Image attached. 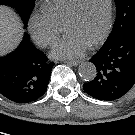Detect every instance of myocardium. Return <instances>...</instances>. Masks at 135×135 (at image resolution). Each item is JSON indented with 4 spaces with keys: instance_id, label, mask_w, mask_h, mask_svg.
<instances>
[{
    "instance_id": "obj_1",
    "label": "myocardium",
    "mask_w": 135,
    "mask_h": 135,
    "mask_svg": "<svg viewBox=\"0 0 135 135\" xmlns=\"http://www.w3.org/2000/svg\"><path fill=\"white\" fill-rule=\"evenodd\" d=\"M82 2H83V0H77L75 2L71 12L69 13V15L67 16V18L65 20L63 26L76 18V16L79 13V9L81 7ZM112 23H113V0H108V16H107V22H106L105 29H104L103 33L100 35V37H98L95 41H93L91 44H89L88 47L94 48V47L101 45L109 36L111 29H112Z\"/></svg>"
}]
</instances>
